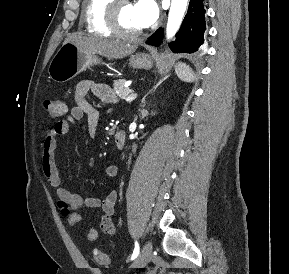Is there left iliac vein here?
Here are the masks:
<instances>
[{
  "instance_id": "left-iliac-vein-1",
  "label": "left iliac vein",
  "mask_w": 289,
  "mask_h": 274,
  "mask_svg": "<svg viewBox=\"0 0 289 274\" xmlns=\"http://www.w3.org/2000/svg\"><path fill=\"white\" fill-rule=\"evenodd\" d=\"M151 256H152V243L151 241H147L144 244L140 254L136 257V259L131 264V267L132 268L145 267L150 261Z\"/></svg>"
}]
</instances>
